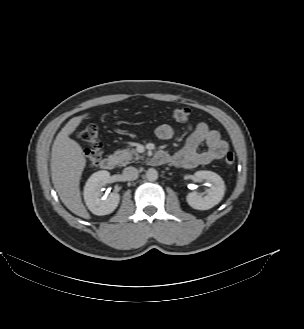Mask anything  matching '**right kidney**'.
I'll list each match as a JSON object with an SVG mask.
<instances>
[{"label": "right kidney", "instance_id": "ca27d5eb", "mask_svg": "<svg viewBox=\"0 0 304 329\" xmlns=\"http://www.w3.org/2000/svg\"><path fill=\"white\" fill-rule=\"evenodd\" d=\"M110 173L105 170L97 171L90 176L84 187V200L88 209L95 215L112 213L119 204L120 195L111 193L108 197L102 196V187L109 182Z\"/></svg>", "mask_w": 304, "mask_h": 329}]
</instances>
